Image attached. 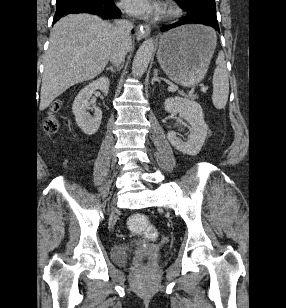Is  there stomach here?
<instances>
[{
	"instance_id": "0dacf381",
	"label": "stomach",
	"mask_w": 286,
	"mask_h": 308,
	"mask_svg": "<svg viewBox=\"0 0 286 308\" xmlns=\"http://www.w3.org/2000/svg\"><path fill=\"white\" fill-rule=\"evenodd\" d=\"M216 43V33L210 27L183 25L160 38L157 58L172 81L193 86L204 78Z\"/></svg>"
}]
</instances>
